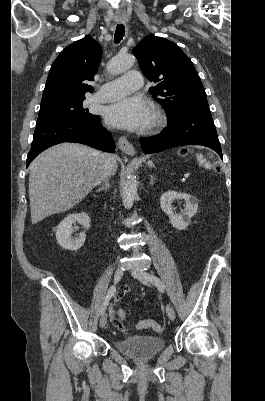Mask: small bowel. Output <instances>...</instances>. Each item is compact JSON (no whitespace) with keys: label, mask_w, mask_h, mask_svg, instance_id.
Here are the masks:
<instances>
[{"label":"small bowel","mask_w":265,"mask_h":401,"mask_svg":"<svg viewBox=\"0 0 265 401\" xmlns=\"http://www.w3.org/2000/svg\"><path fill=\"white\" fill-rule=\"evenodd\" d=\"M129 292V289L127 287H122L117 295H116V300L121 299L124 295H126Z\"/></svg>","instance_id":"obj_1"}]
</instances>
